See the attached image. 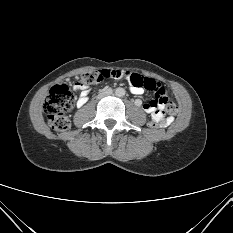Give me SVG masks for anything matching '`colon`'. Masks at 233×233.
I'll list each match as a JSON object with an SVG mask.
<instances>
[{
    "mask_svg": "<svg viewBox=\"0 0 233 233\" xmlns=\"http://www.w3.org/2000/svg\"><path fill=\"white\" fill-rule=\"evenodd\" d=\"M106 71L116 70H93L87 71L81 76L80 83L84 86L96 84L100 81V74ZM120 72V71H116ZM129 83L137 88H144L154 92V104H163V114L173 116L177 112L175 103L167 100L165 92L161 85L153 79L142 75L131 73ZM74 107V96L69 87L60 83L52 87L44 103V111L47 114L50 127L57 132H64L70 128V119L68 113ZM163 125V120L155 114L150 122V127L158 128Z\"/></svg>",
    "mask_w": 233,
    "mask_h": 233,
    "instance_id": "5ec220e1",
    "label": "colon"
}]
</instances>
